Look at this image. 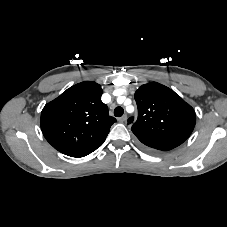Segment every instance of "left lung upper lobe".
Returning a JSON list of instances; mask_svg holds the SVG:
<instances>
[{"instance_id":"obj_1","label":"left lung upper lobe","mask_w":227,"mask_h":227,"mask_svg":"<svg viewBox=\"0 0 227 227\" xmlns=\"http://www.w3.org/2000/svg\"><path fill=\"white\" fill-rule=\"evenodd\" d=\"M138 118L128 119L132 132L148 149L169 151L182 144L192 133L194 109L170 88L151 82L135 92Z\"/></svg>"}]
</instances>
